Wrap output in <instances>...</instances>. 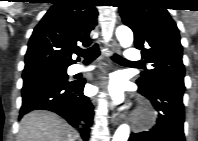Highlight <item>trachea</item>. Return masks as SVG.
Masks as SVG:
<instances>
[{"mask_svg":"<svg viewBox=\"0 0 198 141\" xmlns=\"http://www.w3.org/2000/svg\"><path fill=\"white\" fill-rule=\"evenodd\" d=\"M79 56H83L85 59V63H90L93 60H95L99 55H100V50H99V46L98 44L93 45L92 47L88 48V49H82V50H78L76 52ZM112 59L117 62V63H131L130 61H128L127 59L114 54L112 56Z\"/></svg>","mask_w":198,"mask_h":141,"instance_id":"trachea-1","label":"trachea"}]
</instances>
